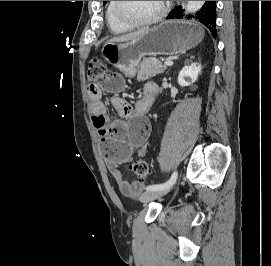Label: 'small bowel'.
Segmentation results:
<instances>
[{"label":"small bowel","instance_id":"obj_1","mask_svg":"<svg viewBox=\"0 0 271 266\" xmlns=\"http://www.w3.org/2000/svg\"><path fill=\"white\" fill-rule=\"evenodd\" d=\"M154 86L156 85L153 83H147L142 98L134 106L125 99L113 95L110 102L121 118L113 122L108 120L103 92L116 94L122 91L125 87L122 76L117 72H112L92 81L88 87L92 123L101 137L108 171L124 195L138 194L143 187L139 181H127L119 167L131 159L134 150H137L139 155L145 153V145L150 132V125L145 115L154 102L149 95L150 89Z\"/></svg>","mask_w":271,"mask_h":266}]
</instances>
